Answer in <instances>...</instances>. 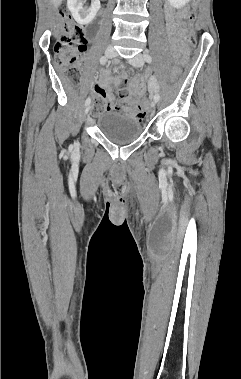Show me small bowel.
<instances>
[{
	"label": "small bowel",
	"mask_w": 241,
	"mask_h": 379,
	"mask_svg": "<svg viewBox=\"0 0 241 379\" xmlns=\"http://www.w3.org/2000/svg\"><path fill=\"white\" fill-rule=\"evenodd\" d=\"M167 28L169 35L174 38L176 35L182 34L186 29V24L183 21L182 14H176L171 8H166ZM173 51L176 58H180L184 53V48L179 41L173 39ZM122 77H111L108 71L103 70L100 73L99 79L94 82V92L104 97L111 105V109H121L126 114L132 116L135 125H140L145 117H149V110H141L143 102L140 94L144 92L145 87L142 79H134L129 81L127 88L121 87L123 83ZM114 83L120 87V91H125V95L121 98V105L114 106L113 94L110 84Z\"/></svg>",
	"instance_id": "c3829d8e"
}]
</instances>
